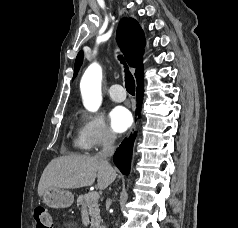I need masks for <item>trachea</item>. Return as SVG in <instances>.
<instances>
[{
	"instance_id": "1",
	"label": "trachea",
	"mask_w": 238,
	"mask_h": 228,
	"mask_svg": "<svg viewBox=\"0 0 238 228\" xmlns=\"http://www.w3.org/2000/svg\"><path fill=\"white\" fill-rule=\"evenodd\" d=\"M119 60L121 61L122 64L125 66V87L128 93L134 95L135 94V81L131 73L128 71V67L125 64V60L123 57L120 55Z\"/></svg>"
}]
</instances>
